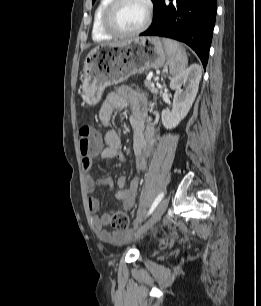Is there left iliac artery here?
Here are the masks:
<instances>
[{"instance_id": "44dca946", "label": "left iliac artery", "mask_w": 261, "mask_h": 306, "mask_svg": "<svg viewBox=\"0 0 261 306\" xmlns=\"http://www.w3.org/2000/svg\"><path fill=\"white\" fill-rule=\"evenodd\" d=\"M164 197V193H160L156 199L154 200L153 204L151 205L148 213H147V216H149L154 210L155 208L157 207V205L159 204V202L162 200V198Z\"/></svg>"}]
</instances>
